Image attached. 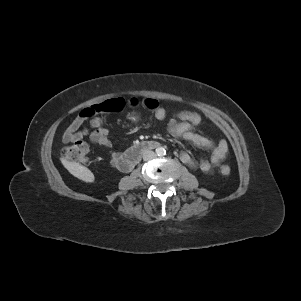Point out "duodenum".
Here are the masks:
<instances>
[{"label":"duodenum","instance_id":"1","mask_svg":"<svg viewBox=\"0 0 301 301\" xmlns=\"http://www.w3.org/2000/svg\"><path fill=\"white\" fill-rule=\"evenodd\" d=\"M159 146L160 143L157 141H143L134 145L123 154L121 160V170H131L137 164L143 153L155 149Z\"/></svg>","mask_w":301,"mask_h":301}]
</instances>
